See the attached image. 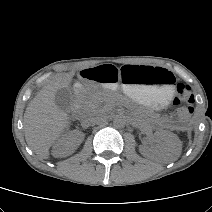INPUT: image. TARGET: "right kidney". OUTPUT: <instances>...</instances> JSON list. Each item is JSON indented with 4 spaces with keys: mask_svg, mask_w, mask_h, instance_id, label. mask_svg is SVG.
<instances>
[{
    "mask_svg": "<svg viewBox=\"0 0 212 212\" xmlns=\"http://www.w3.org/2000/svg\"><path fill=\"white\" fill-rule=\"evenodd\" d=\"M84 139V134L79 130H73L62 135L53 146L54 157H67L75 152Z\"/></svg>",
    "mask_w": 212,
    "mask_h": 212,
    "instance_id": "ca27d5eb",
    "label": "right kidney"
}]
</instances>
